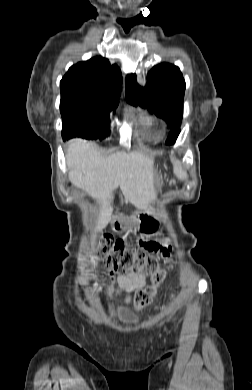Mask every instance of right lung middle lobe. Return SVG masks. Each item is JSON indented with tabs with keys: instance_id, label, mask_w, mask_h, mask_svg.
I'll return each mask as SVG.
<instances>
[{
	"instance_id": "obj_1",
	"label": "right lung middle lobe",
	"mask_w": 252,
	"mask_h": 390,
	"mask_svg": "<svg viewBox=\"0 0 252 390\" xmlns=\"http://www.w3.org/2000/svg\"><path fill=\"white\" fill-rule=\"evenodd\" d=\"M112 109L101 106L60 108L63 140L74 137L88 140L105 138L109 135L110 111Z\"/></svg>"
}]
</instances>
